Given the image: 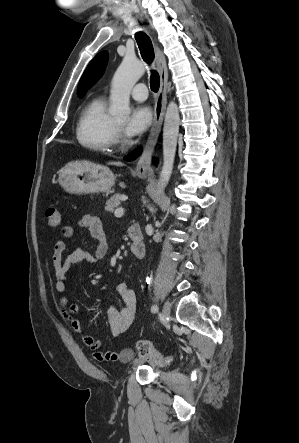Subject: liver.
Listing matches in <instances>:
<instances>
[{"mask_svg":"<svg viewBox=\"0 0 299 443\" xmlns=\"http://www.w3.org/2000/svg\"><path fill=\"white\" fill-rule=\"evenodd\" d=\"M87 163H88V162H87ZM89 164H92V163H89ZM109 164H111V165H117V166H121V165H122L121 162H110Z\"/></svg>","mask_w":299,"mask_h":443,"instance_id":"obj_1","label":"liver"}]
</instances>
